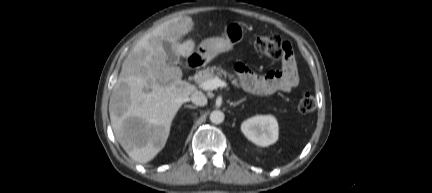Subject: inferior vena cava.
Here are the masks:
<instances>
[{
	"instance_id": "602c4592",
	"label": "inferior vena cava",
	"mask_w": 432,
	"mask_h": 193,
	"mask_svg": "<svg viewBox=\"0 0 432 193\" xmlns=\"http://www.w3.org/2000/svg\"><path fill=\"white\" fill-rule=\"evenodd\" d=\"M190 100L197 106H204L207 104V97L201 91L197 90L191 94Z\"/></svg>"
}]
</instances>
